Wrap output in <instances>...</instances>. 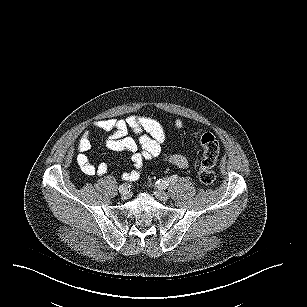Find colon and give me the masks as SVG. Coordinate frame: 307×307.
I'll use <instances>...</instances> for the list:
<instances>
[{"instance_id": "colon-1", "label": "colon", "mask_w": 307, "mask_h": 307, "mask_svg": "<svg viewBox=\"0 0 307 307\" xmlns=\"http://www.w3.org/2000/svg\"><path fill=\"white\" fill-rule=\"evenodd\" d=\"M203 155L198 171L199 180L204 184H213L216 181L214 165L219 153V143L215 136L209 132L197 135Z\"/></svg>"}]
</instances>
